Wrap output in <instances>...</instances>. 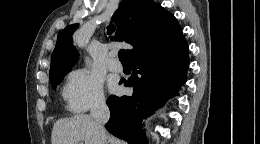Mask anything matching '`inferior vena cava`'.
I'll use <instances>...</instances> for the list:
<instances>
[{
	"instance_id": "1",
	"label": "inferior vena cava",
	"mask_w": 260,
	"mask_h": 144,
	"mask_svg": "<svg viewBox=\"0 0 260 144\" xmlns=\"http://www.w3.org/2000/svg\"><path fill=\"white\" fill-rule=\"evenodd\" d=\"M90 116L93 118L97 131L101 134L105 132L104 125L110 117L109 108L106 105L104 98H99L95 101L91 108ZM105 140V139H104ZM104 144V142H100Z\"/></svg>"
}]
</instances>
